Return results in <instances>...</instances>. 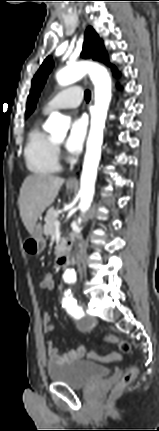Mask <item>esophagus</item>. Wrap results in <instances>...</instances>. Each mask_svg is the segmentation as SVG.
Instances as JSON below:
<instances>
[{
    "instance_id": "1",
    "label": "esophagus",
    "mask_w": 159,
    "mask_h": 431,
    "mask_svg": "<svg viewBox=\"0 0 159 431\" xmlns=\"http://www.w3.org/2000/svg\"><path fill=\"white\" fill-rule=\"evenodd\" d=\"M68 184H77L78 183V179L76 176H72L67 180Z\"/></svg>"
}]
</instances>
